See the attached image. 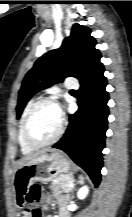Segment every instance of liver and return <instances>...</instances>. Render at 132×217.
<instances>
[{
	"label": "liver",
	"mask_w": 132,
	"mask_h": 217,
	"mask_svg": "<svg viewBox=\"0 0 132 217\" xmlns=\"http://www.w3.org/2000/svg\"><path fill=\"white\" fill-rule=\"evenodd\" d=\"M46 152H52V153H53V152H56V150H54V149L43 150V151L38 152V153H36V154H33V155H31V156H27V157H25V158H22V159L18 162L17 165H18V167H19V166L25 164L26 162H28V161H30V160L36 158L37 156H39V155H41V154H45Z\"/></svg>",
	"instance_id": "liver-1"
}]
</instances>
